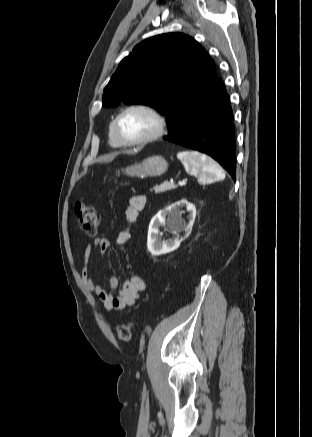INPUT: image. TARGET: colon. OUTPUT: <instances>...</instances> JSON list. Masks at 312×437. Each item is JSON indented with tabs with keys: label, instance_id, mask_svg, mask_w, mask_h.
<instances>
[{
	"label": "colon",
	"instance_id": "colon-1",
	"mask_svg": "<svg viewBox=\"0 0 312 437\" xmlns=\"http://www.w3.org/2000/svg\"><path fill=\"white\" fill-rule=\"evenodd\" d=\"M75 215L84 232L93 236L97 231V215L94 208L89 204L77 203ZM117 337L122 342H130L133 339V326L131 323H124L116 329Z\"/></svg>",
	"mask_w": 312,
	"mask_h": 437
}]
</instances>
